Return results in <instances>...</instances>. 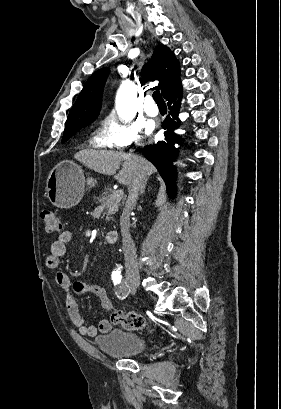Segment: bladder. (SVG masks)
<instances>
[{
  "label": "bladder",
  "mask_w": 281,
  "mask_h": 409,
  "mask_svg": "<svg viewBox=\"0 0 281 409\" xmlns=\"http://www.w3.org/2000/svg\"><path fill=\"white\" fill-rule=\"evenodd\" d=\"M94 341L102 354L121 360L141 357L151 349L147 339L130 329L110 328L106 335H98Z\"/></svg>",
  "instance_id": "31cf9c89"
}]
</instances>
